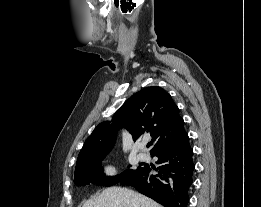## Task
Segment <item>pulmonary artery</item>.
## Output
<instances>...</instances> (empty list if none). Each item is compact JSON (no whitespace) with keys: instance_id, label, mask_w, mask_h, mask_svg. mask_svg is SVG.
<instances>
[{"instance_id":"1","label":"pulmonary artery","mask_w":261,"mask_h":207,"mask_svg":"<svg viewBox=\"0 0 261 207\" xmlns=\"http://www.w3.org/2000/svg\"><path fill=\"white\" fill-rule=\"evenodd\" d=\"M139 159L142 160V161H146L149 159V156L145 153H140L139 154Z\"/></svg>"}]
</instances>
